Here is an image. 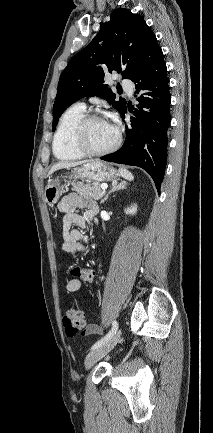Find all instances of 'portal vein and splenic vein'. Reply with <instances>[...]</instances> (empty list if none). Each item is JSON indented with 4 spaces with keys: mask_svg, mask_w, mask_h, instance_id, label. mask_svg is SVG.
I'll list each match as a JSON object with an SVG mask.
<instances>
[{
    "mask_svg": "<svg viewBox=\"0 0 213 433\" xmlns=\"http://www.w3.org/2000/svg\"><path fill=\"white\" fill-rule=\"evenodd\" d=\"M107 188H108V185H107V184H102V185H101V189L106 190Z\"/></svg>",
    "mask_w": 213,
    "mask_h": 433,
    "instance_id": "18ae733b",
    "label": "portal vein and splenic vein"
}]
</instances>
